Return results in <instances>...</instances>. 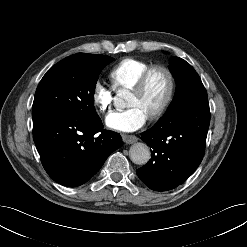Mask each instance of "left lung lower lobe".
<instances>
[{
	"label": "left lung lower lobe",
	"instance_id": "1",
	"mask_svg": "<svg viewBox=\"0 0 247 247\" xmlns=\"http://www.w3.org/2000/svg\"><path fill=\"white\" fill-rule=\"evenodd\" d=\"M209 124L208 98L196 99L183 110L164 115L141 134V139L152 148V157L136 170L138 177L155 191L182 184L203 159Z\"/></svg>",
	"mask_w": 247,
	"mask_h": 247
}]
</instances>
